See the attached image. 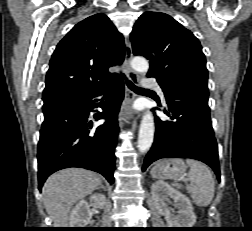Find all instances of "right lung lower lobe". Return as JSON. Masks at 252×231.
Returning <instances> with one entry per match:
<instances>
[{"instance_id": "obj_1", "label": "right lung lower lobe", "mask_w": 252, "mask_h": 231, "mask_svg": "<svg viewBox=\"0 0 252 231\" xmlns=\"http://www.w3.org/2000/svg\"><path fill=\"white\" fill-rule=\"evenodd\" d=\"M104 90L109 94L95 118L106 121L93 128L89 113L96 106L94 98ZM123 98L124 85L119 78L102 89L76 95L63 108L44 116L37 153L39 190L50 174L68 167L93 170L114 182L117 116Z\"/></svg>"}]
</instances>
